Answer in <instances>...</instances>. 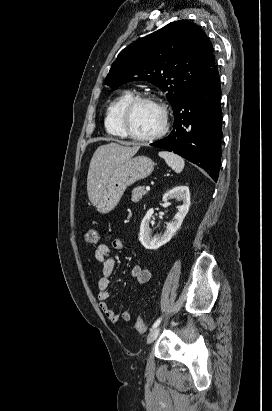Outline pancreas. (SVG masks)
<instances>
[{"label":"pancreas","instance_id":"pancreas-1","mask_svg":"<svg viewBox=\"0 0 272 411\" xmlns=\"http://www.w3.org/2000/svg\"><path fill=\"white\" fill-rule=\"evenodd\" d=\"M147 193L144 186H138L133 189L132 191V198L131 201L134 203L139 202L142 197Z\"/></svg>","mask_w":272,"mask_h":411}]
</instances>
